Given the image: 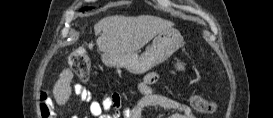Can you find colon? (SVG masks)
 <instances>
[{
    "label": "colon",
    "instance_id": "colon-1",
    "mask_svg": "<svg viewBox=\"0 0 273 118\" xmlns=\"http://www.w3.org/2000/svg\"><path fill=\"white\" fill-rule=\"evenodd\" d=\"M70 66L80 80L87 81L89 79L90 64L82 45L76 47L72 51L70 55ZM41 100L42 118H52L53 114L51 111V106L48 103V95L46 93H42ZM193 105L195 110L201 113H212L216 109V104L213 101L203 100L199 97H193Z\"/></svg>",
    "mask_w": 273,
    "mask_h": 118
}]
</instances>
